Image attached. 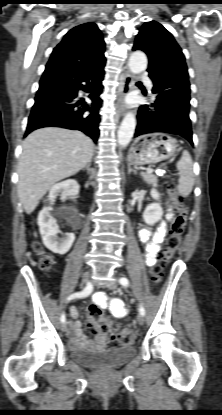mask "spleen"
I'll use <instances>...</instances> for the list:
<instances>
[{"label": "spleen", "mask_w": 222, "mask_h": 415, "mask_svg": "<svg viewBox=\"0 0 222 415\" xmlns=\"http://www.w3.org/2000/svg\"><path fill=\"white\" fill-rule=\"evenodd\" d=\"M176 167L180 175L177 185L178 193L183 197H187L192 192L195 181L193 162L188 151H183L180 160L176 163Z\"/></svg>", "instance_id": "obj_1"}]
</instances>
